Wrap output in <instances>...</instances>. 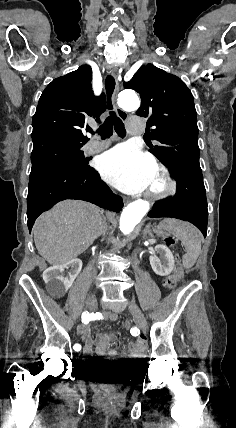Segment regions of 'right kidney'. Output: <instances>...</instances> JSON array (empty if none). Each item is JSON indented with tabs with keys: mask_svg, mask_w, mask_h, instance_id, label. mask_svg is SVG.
<instances>
[{
	"mask_svg": "<svg viewBox=\"0 0 236 428\" xmlns=\"http://www.w3.org/2000/svg\"><path fill=\"white\" fill-rule=\"evenodd\" d=\"M66 268V270H65ZM82 270V260L74 258L62 266H52L43 272L45 291L53 292L54 300H65L66 292Z\"/></svg>",
	"mask_w": 236,
	"mask_h": 428,
	"instance_id": "1",
	"label": "right kidney"
}]
</instances>
